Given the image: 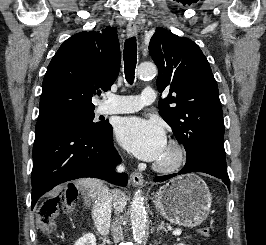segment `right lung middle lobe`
I'll list each match as a JSON object with an SVG mask.
<instances>
[{"label": "right lung middle lobe", "mask_w": 266, "mask_h": 245, "mask_svg": "<svg viewBox=\"0 0 266 245\" xmlns=\"http://www.w3.org/2000/svg\"><path fill=\"white\" fill-rule=\"evenodd\" d=\"M94 109H85V110H78L66 113L64 115H61L55 119H49V120H42L38 121L35 127V132L41 131L43 129H46L56 123L59 122H73L83 125L84 127L92 130V131H98L101 129V127L104 125L102 122H93L94 119Z\"/></svg>", "instance_id": "obj_1"}]
</instances>
